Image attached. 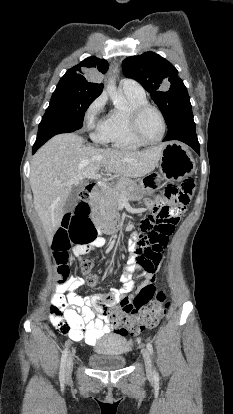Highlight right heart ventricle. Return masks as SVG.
<instances>
[{
	"mask_svg": "<svg viewBox=\"0 0 233 414\" xmlns=\"http://www.w3.org/2000/svg\"><path fill=\"white\" fill-rule=\"evenodd\" d=\"M124 95L128 101L127 108H113L102 123L103 142L117 149L137 150L145 144L138 141L132 134L128 113L130 109L148 102L145 94L137 95L124 92Z\"/></svg>",
	"mask_w": 233,
	"mask_h": 414,
	"instance_id": "e07e8e85",
	"label": "right heart ventricle"
}]
</instances>
